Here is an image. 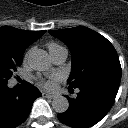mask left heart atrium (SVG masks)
I'll list each match as a JSON object with an SVG mask.
<instances>
[{
    "label": "left heart atrium",
    "mask_w": 128,
    "mask_h": 128,
    "mask_svg": "<svg viewBox=\"0 0 128 128\" xmlns=\"http://www.w3.org/2000/svg\"><path fill=\"white\" fill-rule=\"evenodd\" d=\"M59 79V76L58 75H54L52 76L50 79L48 80H43L41 81V84L44 88H47V89H51L54 87V84L55 82Z\"/></svg>",
    "instance_id": "obj_1"
}]
</instances>
